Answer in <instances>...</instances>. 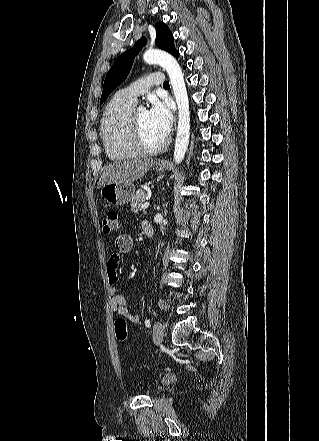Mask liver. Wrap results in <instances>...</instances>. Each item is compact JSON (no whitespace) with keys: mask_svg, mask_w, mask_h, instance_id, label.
Returning a JSON list of instances; mask_svg holds the SVG:
<instances>
[{"mask_svg":"<svg viewBox=\"0 0 319 441\" xmlns=\"http://www.w3.org/2000/svg\"><path fill=\"white\" fill-rule=\"evenodd\" d=\"M155 161L150 158L114 161L107 165L100 176L97 188L113 182H132L143 177L153 167Z\"/></svg>","mask_w":319,"mask_h":441,"instance_id":"obj_1","label":"liver"}]
</instances>
